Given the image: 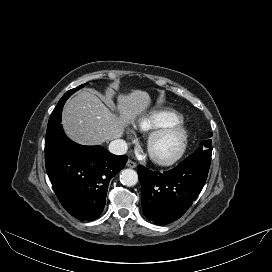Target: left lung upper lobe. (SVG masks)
Here are the masks:
<instances>
[{"instance_id":"1","label":"left lung upper lobe","mask_w":272,"mask_h":272,"mask_svg":"<svg viewBox=\"0 0 272 272\" xmlns=\"http://www.w3.org/2000/svg\"><path fill=\"white\" fill-rule=\"evenodd\" d=\"M211 136H212V134H211ZM211 144H212L211 140L202 141L201 144H200V147H198L196 149L195 153H200V152H202L204 150H207V149L211 148Z\"/></svg>"}]
</instances>
